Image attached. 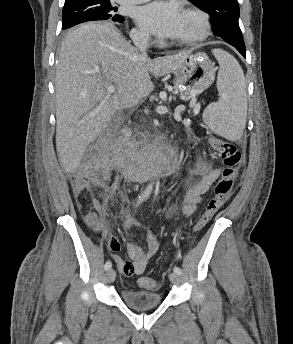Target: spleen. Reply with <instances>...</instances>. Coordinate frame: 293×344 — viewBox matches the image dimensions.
I'll list each match as a JSON object with an SVG mask.
<instances>
[{"mask_svg": "<svg viewBox=\"0 0 293 344\" xmlns=\"http://www.w3.org/2000/svg\"><path fill=\"white\" fill-rule=\"evenodd\" d=\"M220 68L217 76L218 102L203 112L205 124L216 134L238 140L244 131L247 116V94L243 70L228 52L214 49Z\"/></svg>", "mask_w": 293, "mask_h": 344, "instance_id": "obj_1", "label": "spleen"}]
</instances>
